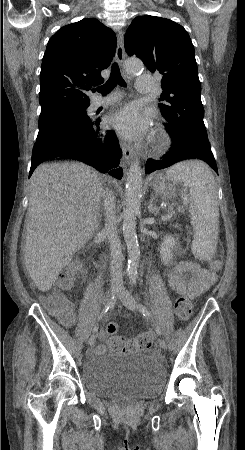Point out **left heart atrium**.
Here are the masks:
<instances>
[{"instance_id": "39dd6f15", "label": "left heart atrium", "mask_w": 245, "mask_h": 450, "mask_svg": "<svg viewBox=\"0 0 245 450\" xmlns=\"http://www.w3.org/2000/svg\"><path fill=\"white\" fill-rule=\"evenodd\" d=\"M108 123L123 138L133 140L149 131L151 115L143 112L139 105L129 104L111 114Z\"/></svg>"}]
</instances>
